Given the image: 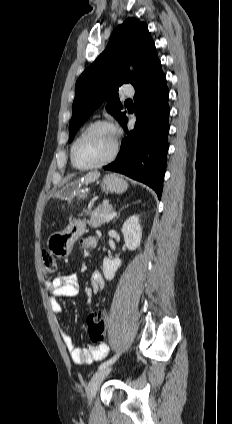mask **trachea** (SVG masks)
Here are the masks:
<instances>
[{"label": "trachea", "mask_w": 232, "mask_h": 424, "mask_svg": "<svg viewBox=\"0 0 232 424\" xmlns=\"http://www.w3.org/2000/svg\"><path fill=\"white\" fill-rule=\"evenodd\" d=\"M125 103H127V104L132 103V100L128 99V100L125 101Z\"/></svg>", "instance_id": "trachea-1"}]
</instances>
